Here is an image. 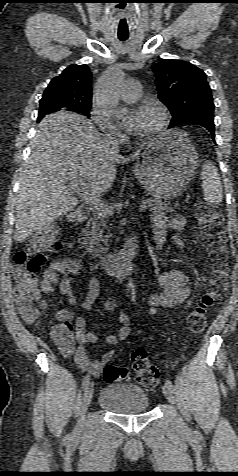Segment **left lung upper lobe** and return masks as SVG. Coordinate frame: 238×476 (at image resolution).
Segmentation results:
<instances>
[{"instance_id": "left-lung-upper-lobe-1", "label": "left lung upper lobe", "mask_w": 238, "mask_h": 476, "mask_svg": "<svg viewBox=\"0 0 238 476\" xmlns=\"http://www.w3.org/2000/svg\"><path fill=\"white\" fill-rule=\"evenodd\" d=\"M159 99L172 114L169 128L181 124H214V104L206 74L195 65L163 59L152 66Z\"/></svg>"}]
</instances>
